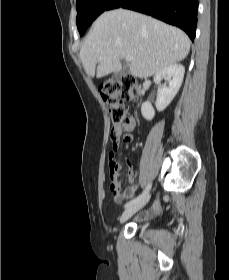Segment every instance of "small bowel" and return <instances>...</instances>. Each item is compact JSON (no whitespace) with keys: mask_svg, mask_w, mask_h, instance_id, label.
<instances>
[{"mask_svg":"<svg viewBox=\"0 0 229 280\" xmlns=\"http://www.w3.org/2000/svg\"><path fill=\"white\" fill-rule=\"evenodd\" d=\"M110 178H111V191L113 193V199L116 204H120L125 200H128L132 198L135 193L137 188L132 184L133 183V168L131 165L128 167V175H127V180L130 184V186L124 190L123 192H120L119 186H120V181H119V175L121 172V164L119 161H114L112 165H110ZM160 211V206L158 202H155L149 209L143 211L140 213V218L145 219L148 218Z\"/></svg>","mask_w":229,"mask_h":280,"instance_id":"obj_1","label":"small bowel"}]
</instances>
